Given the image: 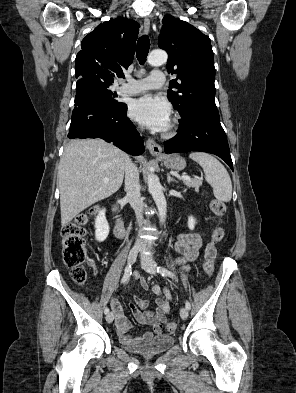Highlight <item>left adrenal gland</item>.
Returning <instances> with one entry per match:
<instances>
[{"label":"left adrenal gland","instance_id":"obj_1","mask_svg":"<svg viewBox=\"0 0 296 393\" xmlns=\"http://www.w3.org/2000/svg\"><path fill=\"white\" fill-rule=\"evenodd\" d=\"M167 182L168 183H171V182L178 183L174 178L171 177V175L169 173H167Z\"/></svg>","mask_w":296,"mask_h":393}]
</instances>
